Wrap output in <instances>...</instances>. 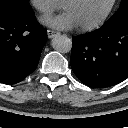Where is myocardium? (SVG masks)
<instances>
[{
  "label": "myocardium",
  "instance_id": "obj_1",
  "mask_svg": "<svg viewBox=\"0 0 128 128\" xmlns=\"http://www.w3.org/2000/svg\"><path fill=\"white\" fill-rule=\"evenodd\" d=\"M72 1V0H63L62 5L65 3ZM118 0H111L109 6L106 8L104 13L93 23L87 24V25H80L79 29L81 31H92L97 28H99L101 25L104 24V22L108 19L112 11L114 10Z\"/></svg>",
  "mask_w": 128,
  "mask_h": 128
}]
</instances>
